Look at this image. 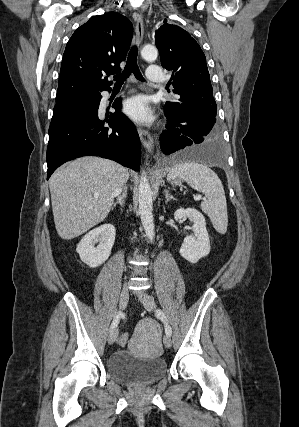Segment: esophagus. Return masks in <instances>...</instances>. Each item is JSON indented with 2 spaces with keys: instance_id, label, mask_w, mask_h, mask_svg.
Returning a JSON list of instances; mask_svg holds the SVG:
<instances>
[{
  "instance_id": "obj_1",
  "label": "esophagus",
  "mask_w": 299,
  "mask_h": 427,
  "mask_svg": "<svg viewBox=\"0 0 299 427\" xmlns=\"http://www.w3.org/2000/svg\"><path fill=\"white\" fill-rule=\"evenodd\" d=\"M134 20L136 22V27H135V32H136V43L140 44L143 40V35H144V25H143V18L141 14H135L134 15ZM139 137L141 139V142L144 146V148L148 151V152H152L153 151V146H154V140L152 135L145 129L138 127L137 128Z\"/></svg>"
}]
</instances>
